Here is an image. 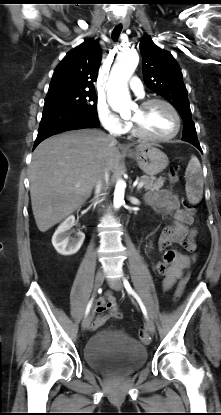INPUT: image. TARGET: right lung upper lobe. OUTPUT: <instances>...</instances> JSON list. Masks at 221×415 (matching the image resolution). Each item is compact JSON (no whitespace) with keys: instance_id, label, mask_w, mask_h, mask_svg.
<instances>
[{"instance_id":"obj_1","label":"right lung upper lobe","mask_w":221,"mask_h":415,"mask_svg":"<svg viewBox=\"0 0 221 415\" xmlns=\"http://www.w3.org/2000/svg\"><path fill=\"white\" fill-rule=\"evenodd\" d=\"M101 63L97 41L86 39L66 54L54 70L48 93L64 90H92Z\"/></svg>"}]
</instances>
